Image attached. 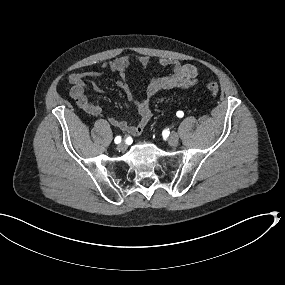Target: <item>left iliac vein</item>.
I'll return each mask as SVG.
<instances>
[{"label":"left iliac vein","mask_w":285,"mask_h":285,"mask_svg":"<svg viewBox=\"0 0 285 285\" xmlns=\"http://www.w3.org/2000/svg\"><path fill=\"white\" fill-rule=\"evenodd\" d=\"M178 142L179 136L176 133L172 132L168 137V144L174 147L178 145Z\"/></svg>","instance_id":"1"}]
</instances>
